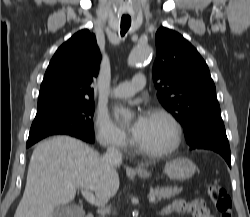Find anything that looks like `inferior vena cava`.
Returning <instances> with one entry per match:
<instances>
[{
	"label": "inferior vena cava",
	"mask_w": 250,
	"mask_h": 217,
	"mask_svg": "<svg viewBox=\"0 0 250 217\" xmlns=\"http://www.w3.org/2000/svg\"><path fill=\"white\" fill-rule=\"evenodd\" d=\"M104 159L109 165L116 168L122 163V154L117 147L110 146L107 148Z\"/></svg>",
	"instance_id": "1"
}]
</instances>
